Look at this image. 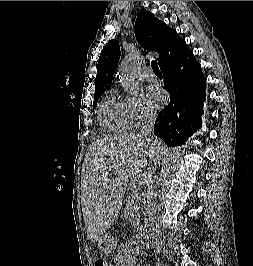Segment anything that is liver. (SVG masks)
I'll use <instances>...</instances> for the list:
<instances>
[{
    "label": "liver",
    "mask_w": 253,
    "mask_h": 266,
    "mask_svg": "<svg viewBox=\"0 0 253 266\" xmlns=\"http://www.w3.org/2000/svg\"><path fill=\"white\" fill-rule=\"evenodd\" d=\"M167 152L160 139L155 137L150 143L137 133L99 140L88 147L82 199L83 217L93 243L117 218L129 180L142 182Z\"/></svg>",
    "instance_id": "liver-1"
}]
</instances>
